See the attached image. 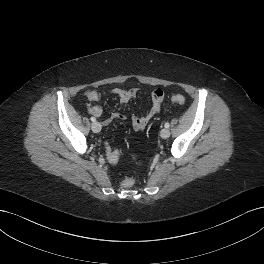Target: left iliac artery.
I'll use <instances>...</instances> for the list:
<instances>
[{
    "label": "left iliac artery",
    "instance_id": "obj_1",
    "mask_svg": "<svg viewBox=\"0 0 264 264\" xmlns=\"http://www.w3.org/2000/svg\"><path fill=\"white\" fill-rule=\"evenodd\" d=\"M165 128H169L170 124L168 122L165 123Z\"/></svg>",
    "mask_w": 264,
    "mask_h": 264
}]
</instances>
